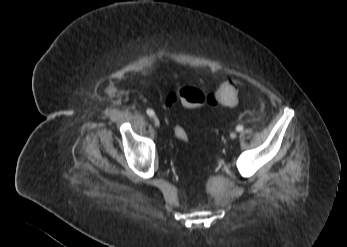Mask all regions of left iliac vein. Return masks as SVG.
Masks as SVG:
<instances>
[{"label":"left iliac vein","instance_id":"left-iliac-vein-1","mask_svg":"<svg viewBox=\"0 0 347 247\" xmlns=\"http://www.w3.org/2000/svg\"><path fill=\"white\" fill-rule=\"evenodd\" d=\"M236 137H237V133L236 132L230 133V138L231 139H235Z\"/></svg>","mask_w":347,"mask_h":247}]
</instances>
